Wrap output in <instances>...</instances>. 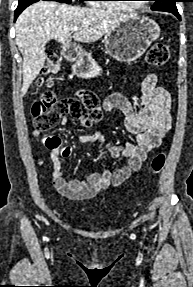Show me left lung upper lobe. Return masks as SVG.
<instances>
[{"label": "left lung upper lobe", "instance_id": "5c2ea615", "mask_svg": "<svg viewBox=\"0 0 193 287\" xmlns=\"http://www.w3.org/2000/svg\"><path fill=\"white\" fill-rule=\"evenodd\" d=\"M155 1L154 5L151 7L153 11H170L176 10V2L179 0H152Z\"/></svg>", "mask_w": 193, "mask_h": 287}]
</instances>
